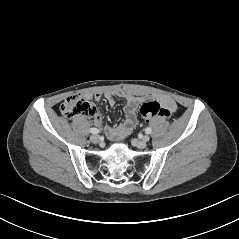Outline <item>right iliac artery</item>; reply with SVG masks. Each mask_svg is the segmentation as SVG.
I'll return each mask as SVG.
<instances>
[{
    "mask_svg": "<svg viewBox=\"0 0 239 239\" xmlns=\"http://www.w3.org/2000/svg\"><path fill=\"white\" fill-rule=\"evenodd\" d=\"M90 132H91L92 134H98V133H99V130H98L97 128H91V129H90Z\"/></svg>",
    "mask_w": 239,
    "mask_h": 239,
    "instance_id": "right-iliac-artery-1",
    "label": "right iliac artery"
}]
</instances>
